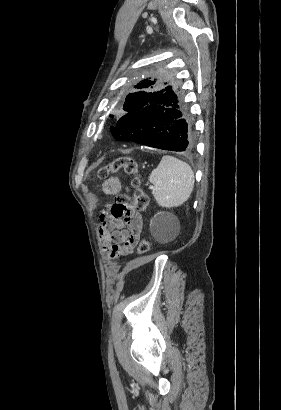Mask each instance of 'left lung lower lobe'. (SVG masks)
Listing matches in <instances>:
<instances>
[{"label":"left lung lower lobe","instance_id":"left-lung-lower-lobe-1","mask_svg":"<svg viewBox=\"0 0 281 410\" xmlns=\"http://www.w3.org/2000/svg\"><path fill=\"white\" fill-rule=\"evenodd\" d=\"M119 141H133L163 150L190 152L195 134L188 112L174 86L157 91L141 110L121 117L115 129Z\"/></svg>","mask_w":281,"mask_h":410}]
</instances>
